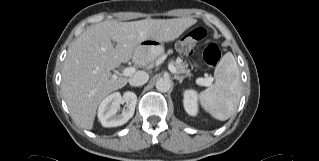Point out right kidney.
I'll use <instances>...</instances> for the list:
<instances>
[{
    "label": "right kidney",
    "instance_id": "1",
    "mask_svg": "<svg viewBox=\"0 0 319 161\" xmlns=\"http://www.w3.org/2000/svg\"><path fill=\"white\" fill-rule=\"evenodd\" d=\"M137 96L134 92L127 91L121 96L119 92H115L107 96L98 108V118L104 127H117L125 124L133 117ZM125 104V108L120 114V104Z\"/></svg>",
    "mask_w": 319,
    "mask_h": 161
}]
</instances>
